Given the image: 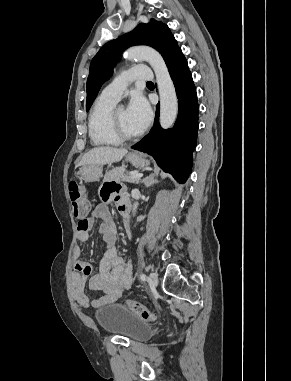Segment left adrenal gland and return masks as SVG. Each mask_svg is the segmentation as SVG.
<instances>
[{"label":"left adrenal gland","mask_w":291,"mask_h":381,"mask_svg":"<svg viewBox=\"0 0 291 381\" xmlns=\"http://www.w3.org/2000/svg\"><path fill=\"white\" fill-rule=\"evenodd\" d=\"M143 182H144V184H145L146 187H149V186H151L152 184L157 183L158 180L154 179V174H150V175L147 176L145 179H143Z\"/></svg>","instance_id":"obj_1"}]
</instances>
